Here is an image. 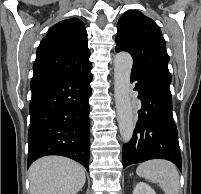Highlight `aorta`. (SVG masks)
Returning <instances> with one entry per match:
<instances>
[{"mask_svg":"<svg viewBox=\"0 0 201 194\" xmlns=\"http://www.w3.org/2000/svg\"><path fill=\"white\" fill-rule=\"evenodd\" d=\"M133 59L127 52L114 57V92L117 119L123 142L128 143L134 131V117L130 95V76Z\"/></svg>","mask_w":201,"mask_h":194,"instance_id":"1","label":"aorta"}]
</instances>
